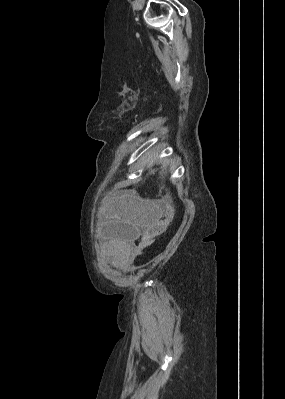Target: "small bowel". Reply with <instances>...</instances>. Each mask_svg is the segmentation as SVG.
<instances>
[{
  "label": "small bowel",
  "instance_id": "1",
  "mask_svg": "<svg viewBox=\"0 0 285 399\" xmlns=\"http://www.w3.org/2000/svg\"><path fill=\"white\" fill-rule=\"evenodd\" d=\"M157 202L153 200L138 199L137 208L133 211L129 225L133 228L131 243L124 247V258L130 255L137 242L150 236L157 222V214L154 206Z\"/></svg>",
  "mask_w": 285,
  "mask_h": 399
}]
</instances>
